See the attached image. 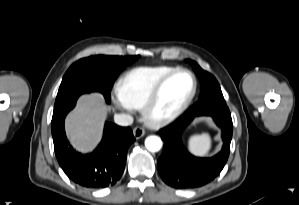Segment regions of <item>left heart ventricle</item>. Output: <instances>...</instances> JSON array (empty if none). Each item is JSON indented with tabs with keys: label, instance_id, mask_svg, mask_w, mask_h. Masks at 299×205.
<instances>
[{
	"label": "left heart ventricle",
	"instance_id": "b2bd125f",
	"mask_svg": "<svg viewBox=\"0 0 299 205\" xmlns=\"http://www.w3.org/2000/svg\"><path fill=\"white\" fill-rule=\"evenodd\" d=\"M192 88L189 75L181 73L172 78L164 87L155 108L156 114H165L180 106Z\"/></svg>",
	"mask_w": 299,
	"mask_h": 205
}]
</instances>
